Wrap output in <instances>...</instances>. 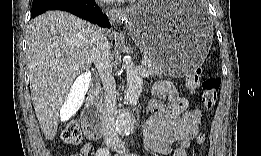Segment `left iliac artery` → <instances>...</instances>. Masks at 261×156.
Masks as SVG:
<instances>
[{
	"label": "left iliac artery",
	"instance_id": "44dca946",
	"mask_svg": "<svg viewBox=\"0 0 261 156\" xmlns=\"http://www.w3.org/2000/svg\"><path fill=\"white\" fill-rule=\"evenodd\" d=\"M126 155H127V156H134V155H133V154H131V153H127Z\"/></svg>",
	"mask_w": 261,
	"mask_h": 156
}]
</instances>
